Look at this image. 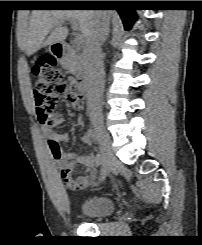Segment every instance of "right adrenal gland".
Masks as SVG:
<instances>
[{
  "label": "right adrenal gland",
  "mask_w": 202,
  "mask_h": 245,
  "mask_svg": "<svg viewBox=\"0 0 202 245\" xmlns=\"http://www.w3.org/2000/svg\"><path fill=\"white\" fill-rule=\"evenodd\" d=\"M109 37V32L107 33V35H106V39Z\"/></svg>",
  "instance_id": "right-adrenal-gland-1"
}]
</instances>
